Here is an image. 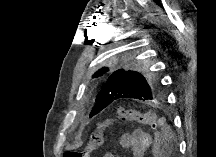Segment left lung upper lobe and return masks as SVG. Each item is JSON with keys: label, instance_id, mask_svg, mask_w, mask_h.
I'll use <instances>...</instances> for the list:
<instances>
[{"label": "left lung upper lobe", "instance_id": "1", "mask_svg": "<svg viewBox=\"0 0 216 157\" xmlns=\"http://www.w3.org/2000/svg\"><path fill=\"white\" fill-rule=\"evenodd\" d=\"M118 61H134V56H118ZM110 69L112 74L110 75ZM145 64H104L92 77H107L96 97V104L123 99L154 100L161 96L158 78L145 73Z\"/></svg>", "mask_w": 216, "mask_h": 157}]
</instances>
